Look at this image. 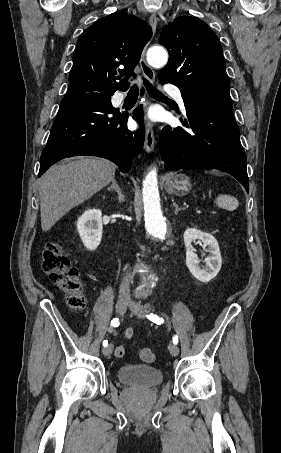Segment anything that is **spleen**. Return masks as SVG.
Wrapping results in <instances>:
<instances>
[{
    "instance_id": "obj_1",
    "label": "spleen",
    "mask_w": 281,
    "mask_h": 453,
    "mask_svg": "<svg viewBox=\"0 0 281 453\" xmlns=\"http://www.w3.org/2000/svg\"><path fill=\"white\" fill-rule=\"evenodd\" d=\"M217 206L220 208H226V210H235L238 208L239 202L235 196H231V194H219L215 200Z\"/></svg>"
}]
</instances>
